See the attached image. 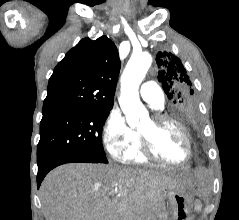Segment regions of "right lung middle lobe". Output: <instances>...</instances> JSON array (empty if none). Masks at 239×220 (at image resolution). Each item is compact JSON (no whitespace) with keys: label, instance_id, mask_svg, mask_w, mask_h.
<instances>
[{"label":"right lung middle lobe","instance_id":"1","mask_svg":"<svg viewBox=\"0 0 239 220\" xmlns=\"http://www.w3.org/2000/svg\"><path fill=\"white\" fill-rule=\"evenodd\" d=\"M111 109L56 111L43 114L37 164L57 157H82L108 163L102 128Z\"/></svg>","mask_w":239,"mask_h":220}]
</instances>
